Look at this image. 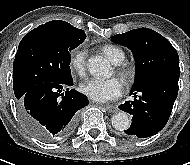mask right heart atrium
<instances>
[{
    "instance_id": "1",
    "label": "right heart atrium",
    "mask_w": 190,
    "mask_h": 165,
    "mask_svg": "<svg viewBox=\"0 0 190 165\" xmlns=\"http://www.w3.org/2000/svg\"><path fill=\"white\" fill-rule=\"evenodd\" d=\"M86 60L87 51L76 49L69 56V67L74 73L80 77H84L86 75Z\"/></svg>"
}]
</instances>
